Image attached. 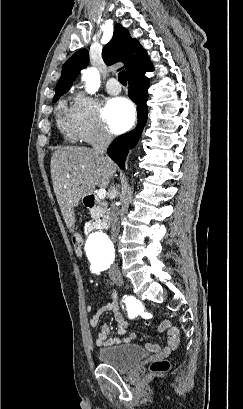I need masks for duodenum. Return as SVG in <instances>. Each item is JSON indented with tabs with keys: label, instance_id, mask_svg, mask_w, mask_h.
Returning a JSON list of instances; mask_svg holds the SVG:
<instances>
[{
	"label": "duodenum",
	"instance_id": "410a0bca",
	"mask_svg": "<svg viewBox=\"0 0 243 409\" xmlns=\"http://www.w3.org/2000/svg\"><path fill=\"white\" fill-rule=\"evenodd\" d=\"M84 204L88 209L96 210L101 207L99 200L93 195L88 194L84 197ZM107 227V220L104 216L98 217L93 223L86 226L87 230H103Z\"/></svg>",
	"mask_w": 243,
	"mask_h": 409
}]
</instances>
